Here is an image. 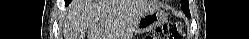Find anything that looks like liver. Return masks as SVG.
<instances>
[{
	"label": "liver",
	"mask_w": 249,
	"mask_h": 39,
	"mask_svg": "<svg viewBox=\"0 0 249 39\" xmlns=\"http://www.w3.org/2000/svg\"><path fill=\"white\" fill-rule=\"evenodd\" d=\"M149 0H76L69 9L65 39H129L138 19L156 10Z\"/></svg>",
	"instance_id": "1"
}]
</instances>
